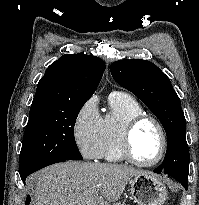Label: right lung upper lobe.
I'll return each instance as SVG.
<instances>
[{
  "instance_id": "cb5924a9",
  "label": "right lung upper lobe",
  "mask_w": 199,
  "mask_h": 205,
  "mask_svg": "<svg viewBox=\"0 0 199 205\" xmlns=\"http://www.w3.org/2000/svg\"><path fill=\"white\" fill-rule=\"evenodd\" d=\"M105 63L102 59L78 54H65L51 64L40 79L30 112L67 102L88 100L95 92Z\"/></svg>"
}]
</instances>
